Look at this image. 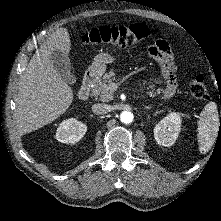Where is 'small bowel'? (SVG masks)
Listing matches in <instances>:
<instances>
[{
	"mask_svg": "<svg viewBox=\"0 0 221 221\" xmlns=\"http://www.w3.org/2000/svg\"><path fill=\"white\" fill-rule=\"evenodd\" d=\"M148 52L161 69L160 83L164 84L163 95L170 97L176 89L175 64L171 48L165 40L159 39L148 48Z\"/></svg>",
	"mask_w": 221,
	"mask_h": 221,
	"instance_id": "small-bowel-1",
	"label": "small bowel"
}]
</instances>
